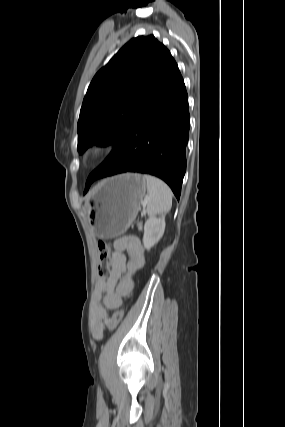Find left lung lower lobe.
Returning <instances> with one entry per match:
<instances>
[{"label": "left lung lower lobe", "mask_w": 285, "mask_h": 427, "mask_svg": "<svg viewBox=\"0 0 285 427\" xmlns=\"http://www.w3.org/2000/svg\"><path fill=\"white\" fill-rule=\"evenodd\" d=\"M189 127L188 96L172 58L146 106L118 146L89 175L85 192L94 180L124 172H139L164 180L179 199L186 171Z\"/></svg>", "instance_id": "1"}]
</instances>
